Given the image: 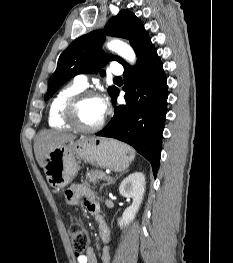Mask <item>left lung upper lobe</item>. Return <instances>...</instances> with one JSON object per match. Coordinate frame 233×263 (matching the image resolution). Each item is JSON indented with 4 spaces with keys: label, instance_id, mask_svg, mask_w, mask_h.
<instances>
[{
    "label": "left lung upper lobe",
    "instance_id": "5c2ea615",
    "mask_svg": "<svg viewBox=\"0 0 233 263\" xmlns=\"http://www.w3.org/2000/svg\"><path fill=\"white\" fill-rule=\"evenodd\" d=\"M106 33L110 36L128 39L133 47L136 56L151 41L141 21L130 11L121 10L117 16L111 18L106 27ZM104 40V32L93 31L79 37L72 42L60 55L57 68L52 74L45 100L52 95L69 79L82 73H94L101 70L108 60H116L123 66L127 63L119 57L107 56L101 49ZM101 76L105 75L100 71ZM118 89L109 87L111 97Z\"/></svg>",
    "mask_w": 233,
    "mask_h": 263
}]
</instances>
